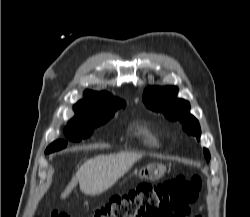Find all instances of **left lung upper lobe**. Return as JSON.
Instances as JSON below:
<instances>
[{"label": "left lung upper lobe", "instance_id": "left-lung-upper-lobe-1", "mask_svg": "<svg viewBox=\"0 0 250 217\" xmlns=\"http://www.w3.org/2000/svg\"><path fill=\"white\" fill-rule=\"evenodd\" d=\"M177 92L178 88L174 86L147 87L143 95V101L149 109L163 113L168 120L180 121L187 134L194 135L200 140L201 129L199 122L189 113V102L176 98ZM204 156L209 162L210 153L205 148Z\"/></svg>", "mask_w": 250, "mask_h": 217}]
</instances>
